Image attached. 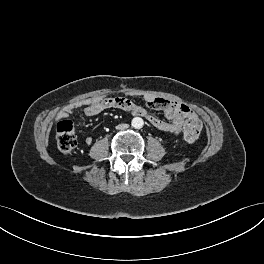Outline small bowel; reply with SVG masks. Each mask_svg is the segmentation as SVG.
Returning <instances> with one entry per match:
<instances>
[{
	"label": "small bowel",
	"mask_w": 264,
	"mask_h": 264,
	"mask_svg": "<svg viewBox=\"0 0 264 264\" xmlns=\"http://www.w3.org/2000/svg\"><path fill=\"white\" fill-rule=\"evenodd\" d=\"M126 95L131 94L127 93ZM142 97L148 105L157 109H162L167 121L154 116L145 108L131 102L125 96L88 98L69 104L59 113V116L62 118L67 117L78 108H81L86 116H95L104 110L115 108L127 111L132 115L142 113L154 127L175 135L180 133L182 122L185 118L195 116L194 112L187 105L177 101L155 97L151 94H144ZM92 142L93 140L91 137L86 138V144L91 145Z\"/></svg>",
	"instance_id": "small-bowel-1"
}]
</instances>
